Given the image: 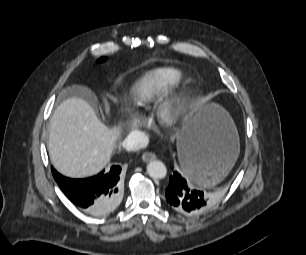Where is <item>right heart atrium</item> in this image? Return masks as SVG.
I'll list each match as a JSON object with an SVG mask.
<instances>
[{
    "instance_id": "1",
    "label": "right heart atrium",
    "mask_w": 306,
    "mask_h": 255,
    "mask_svg": "<svg viewBox=\"0 0 306 255\" xmlns=\"http://www.w3.org/2000/svg\"><path fill=\"white\" fill-rule=\"evenodd\" d=\"M122 114L129 118V129L131 133L136 132L139 129L140 123L137 119L131 118L127 109L122 108Z\"/></svg>"
}]
</instances>
